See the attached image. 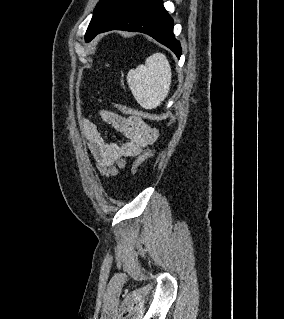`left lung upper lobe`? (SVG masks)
I'll use <instances>...</instances> for the list:
<instances>
[{"label":"left lung upper lobe","instance_id":"1","mask_svg":"<svg viewBox=\"0 0 284 319\" xmlns=\"http://www.w3.org/2000/svg\"><path fill=\"white\" fill-rule=\"evenodd\" d=\"M124 0H100L85 35V41H91L116 13Z\"/></svg>","mask_w":284,"mask_h":319}]
</instances>
